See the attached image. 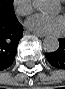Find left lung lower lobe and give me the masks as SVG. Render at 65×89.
<instances>
[{"mask_svg":"<svg viewBox=\"0 0 65 89\" xmlns=\"http://www.w3.org/2000/svg\"><path fill=\"white\" fill-rule=\"evenodd\" d=\"M45 56L52 66L65 70V38L59 40V48L57 51L46 53Z\"/></svg>","mask_w":65,"mask_h":89,"instance_id":"1","label":"left lung lower lobe"}]
</instances>
